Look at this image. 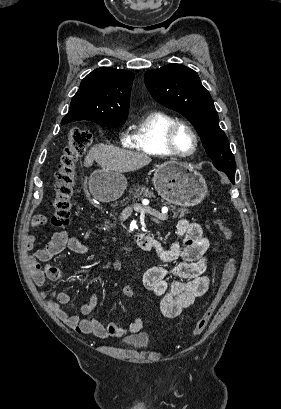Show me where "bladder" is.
<instances>
[{"label": "bladder", "instance_id": "obj_1", "mask_svg": "<svg viewBox=\"0 0 281 409\" xmlns=\"http://www.w3.org/2000/svg\"><path fill=\"white\" fill-rule=\"evenodd\" d=\"M120 344L122 347L129 348L132 351H147L153 346V337L150 332L144 331L135 335L122 337Z\"/></svg>", "mask_w": 281, "mask_h": 409}]
</instances>
